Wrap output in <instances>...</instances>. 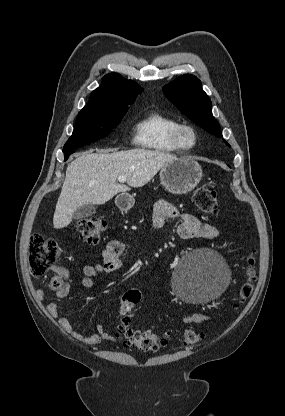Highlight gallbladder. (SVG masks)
<instances>
[{
	"label": "gallbladder",
	"mask_w": 285,
	"mask_h": 416,
	"mask_svg": "<svg viewBox=\"0 0 285 416\" xmlns=\"http://www.w3.org/2000/svg\"><path fill=\"white\" fill-rule=\"evenodd\" d=\"M96 208L93 206V204H85V206H81V208H78L76 210L73 218L74 220H82V218H88V216H92V214H95Z\"/></svg>",
	"instance_id": "bac80fb5"
}]
</instances>
